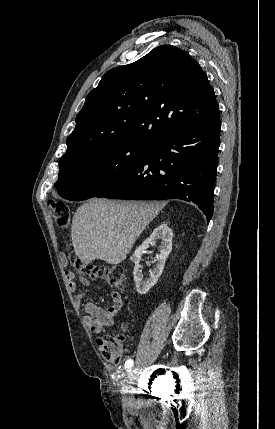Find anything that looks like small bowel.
I'll return each instance as SVG.
<instances>
[{"mask_svg":"<svg viewBox=\"0 0 275 429\" xmlns=\"http://www.w3.org/2000/svg\"><path fill=\"white\" fill-rule=\"evenodd\" d=\"M66 279L69 285V288L72 291H76L77 283L75 274L72 271L67 270L65 272ZM81 283L85 286L89 285V280L81 278ZM76 299L79 303L83 305V309L86 313L84 316V323L90 331L93 333H103L107 328L113 326L115 318L118 315L122 307V298L118 292L111 293L112 303L108 308H102L92 302H86L84 294L78 293Z\"/></svg>","mask_w":275,"mask_h":429,"instance_id":"1","label":"small bowel"}]
</instances>
